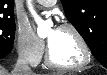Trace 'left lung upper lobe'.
Segmentation results:
<instances>
[{
    "label": "left lung upper lobe",
    "instance_id": "obj_1",
    "mask_svg": "<svg viewBox=\"0 0 107 75\" xmlns=\"http://www.w3.org/2000/svg\"><path fill=\"white\" fill-rule=\"evenodd\" d=\"M65 15L82 35L93 55L106 49L107 63V0H61ZM107 68V65H103Z\"/></svg>",
    "mask_w": 107,
    "mask_h": 75
}]
</instances>
